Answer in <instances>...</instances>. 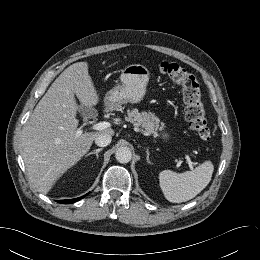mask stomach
Here are the masks:
<instances>
[{"label": "stomach", "instance_id": "1", "mask_svg": "<svg viewBox=\"0 0 260 260\" xmlns=\"http://www.w3.org/2000/svg\"><path fill=\"white\" fill-rule=\"evenodd\" d=\"M149 75V70L141 64H132L125 67L120 76L121 85L113 87L106 93V104L119 107L128 102H140L146 94ZM162 137L168 140L169 134L163 133Z\"/></svg>", "mask_w": 260, "mask_h": 260}]
</instances>
